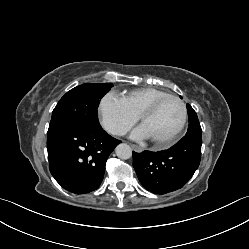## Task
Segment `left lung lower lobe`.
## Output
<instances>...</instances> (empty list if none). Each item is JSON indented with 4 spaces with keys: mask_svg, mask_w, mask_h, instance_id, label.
Segmentation results:
<instances>
[{
    "mask_svg": "<svg viewBox=\"0 0 249 249\" xmlns=\"http://www.w3.org/2000/svg\"><path fill=\"white\" fill-rule=\"evenodd\" d=\"M201 145V136H184L168 150L133 152V166L141 184L155 194L183 187L199 166Z\"/></svg>",
    "mask_w": 249,
    "mask_h": 249,
    "instance_id": "left-lung-lower-lobe-1",
    "label": "left lung lower lobe"
}]
</instances>
